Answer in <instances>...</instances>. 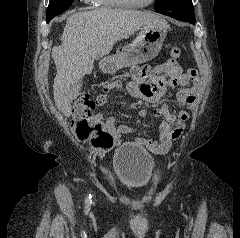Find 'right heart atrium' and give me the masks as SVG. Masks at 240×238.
Instances as JSON below:
<instances>
[{
    "label": "right heart atrium",
    "instance_id": "obj_1",
    "mask_svg": "<svg viewBox=\"0 0 240 238\" xmlns=\"http://www.w3.org/2000/svg\"><path fill=\"white\" fill-rule=\"evenodd\" d=\"M81 1H83L85 3H95L96 2V0H81Z\"/></svg>",
    "mask_w": 240,
    "mask_h": 238
}]
</instances>
